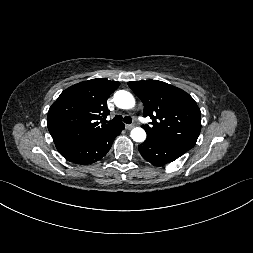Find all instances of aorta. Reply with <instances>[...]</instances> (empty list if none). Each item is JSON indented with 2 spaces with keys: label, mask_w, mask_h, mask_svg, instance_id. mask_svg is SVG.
Wrapping results in <instances>:
<instances>
[{
  "label": "aorta",
  "mask_w": 253,
  "mask_h": 253,
  "mask_svg": "<svg viewBox=\"0 0 253 253\" xmlns=\"http://www.w3.org/2000/svg\"><path fill=\"white\" fill-rule=\"evenodd\" d=\"M114 103L118 108L131 109L135 105V99L128 91L119 90L114 94ZM131 138L136 142H143L146 139V132L140 127L133 128Z\"/></svg>",
  "instance_id": "obj_1"
}]
</instances>
